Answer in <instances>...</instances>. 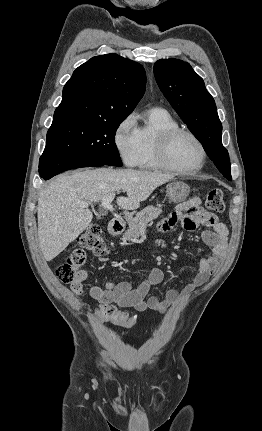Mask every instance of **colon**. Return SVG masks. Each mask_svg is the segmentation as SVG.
I'll list each match as a JSON object with an SVG mask.
<instances>
[{
	"label": "colon",
	"mask_w": 262,
	"mask_h": 431,
	"mask_svg": "<svg viewBox=\"0 0 262 431\" xmlns=\"http://www.w3.org/2000/svg\"><path fill=\"white\" fill-rule=\"evenodd\" d=\"M205 204L213 212H223L225 203L221 189L215 187L209 190L206 194ZM192 211L194 212V210ZM76 243V247L71 249L64 263L56 269L57 277L66 285H75L83 280L86 274L84 250L96 256H104L108 250L106 243L102 239L101 229L96 224L90 225L87 231L78 237ZM100 317L110 320L116 326L128 328L135 324L134 318H130L127 314L118 311H111L107 315L100 314Z\"/></svg>",
	"instance_id": "1"
}]
</instances>
